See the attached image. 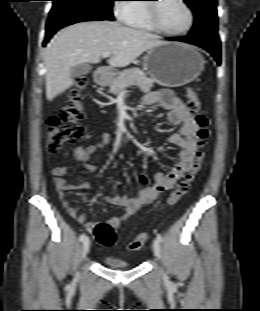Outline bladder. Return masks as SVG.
<instances>
[{
    "mask_svg": "<svg viewBox=\"0 0 260 311\" xmlns=\"http://www.w3.org/2000/svg\"><path fill=\"white\" fill-rule=\"evenodd\" d=\"M101 261L112 269H129L132 267L130 263L121 260L118 256L113 254H104L101 257Z\"/></svg>",
    "mask_w": 260,
    "mask_h": 311,
    "instance_id": "31cf9c89",
    "label": "bladder"
}]
</instances>
